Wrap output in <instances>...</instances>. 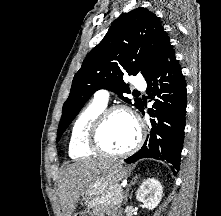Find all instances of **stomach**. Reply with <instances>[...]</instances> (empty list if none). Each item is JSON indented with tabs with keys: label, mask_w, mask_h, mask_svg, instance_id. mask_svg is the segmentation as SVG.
Masks as SVG:
<instances>
[{
	"label": "stomach",
	"mask_w": 221,
	"mask_h": 216,
	"mask_svg": "<svg viewBox=\"0 0 221 216\" xmlns=\"http://www.w3.org/2000/svg\"><path fill=\"white\" fill-rule=\"evenodd\" d=\"M131 168L124 166L121 162L113 163L107 167L101 175L96 177L83 192L82 200L89 209L94 207V199L104 194L111 186L118 185L123 179L129 177ZM93 216L92 212L83 211L74 214V216Z\"/></svg>",
	"instance_id": "1"
}]
</instances>
